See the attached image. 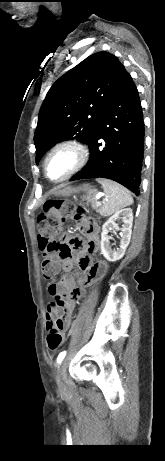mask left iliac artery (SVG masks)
<instances>
[{
	"instance_id": "1",
	"label": "left iliac artery",
	"mask_w": 165,
	"mask_h": 461,
	"mask_svg": "<svg viewBox=\"0 0 165 461\" xmlns=\"http://www.w3.org/2000/svg\"><path fill=\"white\" fill-rule=\"evenodd\" d=\"M65 355H66V352H65V351L61 352V353L58 355V358H57L58 363H61V361L64 359Z\"/></svg>"
}]
</instances>
